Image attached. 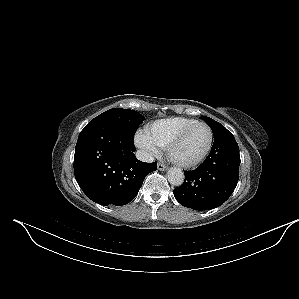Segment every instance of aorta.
<instances>
[{
    "instance_id": "aorta-1",
    "label": "aorta",
    "mask_w": 299,
    "mask_h": 299,
    "mask_svg": "<svg viewBox=\"0 0 299 299\" xmlns=\"http://www.w3.org/2000/svg\"><path fill=\"white\" fill-rule=\"evenodd\" d=\"M167 178L170 184L181 186L184 182V173L180 168L172 167L167 171Z\"/></svg>"
}]
</instances>
